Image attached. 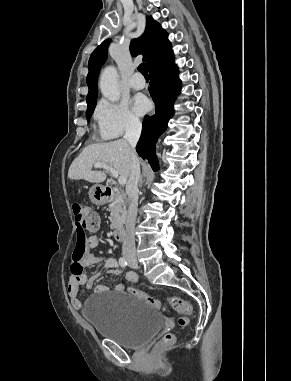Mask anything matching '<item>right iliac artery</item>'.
<instances>
[{
  "label": "right iliac artery",
  "instance_id": "obj_1",
  "mask_svg": "<svg viewBox=\"0 0 291 381\" xmlns=\"http://www.w3.org/2000/svg\"><path fill=\"white\" fill-rule=\"evenodd\" d=\"M119 264L121 265V267H126L128 265V262L124 257H121L119 259Z\"/></svg>",
  "mask_w": 291,
  "mask_h": 381
}]
</instances>
